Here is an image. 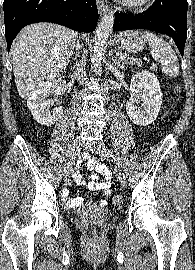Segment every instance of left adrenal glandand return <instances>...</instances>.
Returning a JSON list of instances; mask_svg holds the SVG:
<instances>
[{
	"mask_svg": "<svg viewBox=\"0 0 195 270\" xmlns=\"http://www.w3.org/2000/svg\"><path fill=\"white\" fill-rule=\"evenodd\" d=\"M113 61H114V63H115L117 66L121 67L120 62H119V61H117V54L114 56Z\"/></svg>",
	"mask_w": 195,
	"mask_h": 270,
	"instance_id": "1",
	"label": "left adrenal gland"
}]
</instances>
